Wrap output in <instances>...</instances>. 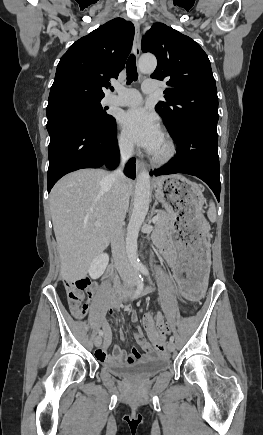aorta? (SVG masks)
<instances>
[{
    "mask_svg": "<svg viewBox=\"0 0 263 435\" xmlns=\"http://www.w3.org/2000/svg\"><path fill=\"white\" fill-rule=\"evenodd\" d=\"M156 66L157 60L153 55H143L138 62L139 71L144 74L153 72ZM150 197V175L146 169H143L137 176L134 205L125 238L127 257L135 271L141 267L137 255V239L149 208Z\"/></svg>",
    "mask_w": 263,
    "mask_h": 435,
    "instance_id": "aorta-1",
    "label": "aorta"
}]
</instances>
